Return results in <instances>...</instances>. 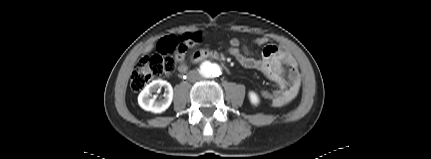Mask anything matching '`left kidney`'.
I'll return each mask as SVG.
<instances>
[{
  "mask_svg": "<svg viewBox=\"0 0 431 159\" xmlns=\"http://www.w3.org/2000/svg\"><path fill=\"white\" fill-rule=\"evenodd\" d=\"M248 96H249L250 102L252 104H254V105L259 104L260 98H259V96L254 91H250L248 93Z\"/></svg>",
  "mask_w": 431,
  "mask_h": 159,
  "instance_id": "left-kidney-1",
  "label": "left kidney"
}]
</instances>
